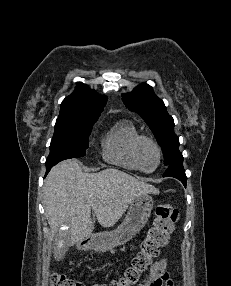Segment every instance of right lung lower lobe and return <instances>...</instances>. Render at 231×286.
<instances>
[{"label":"right lung lower lobe","instance_id":"1","mask_svg":"<svg viewBox=\"0 0 231 286\" xmlns=\"http://www.w3.org/2000/svg\"><path fill=\"white\" fill-rule=\"evenodd\" d=\"M55 164H46V174L50 171V169L54 166Z\"/></svg>","mask_w":231,"mask_h":286}]
</instances>
